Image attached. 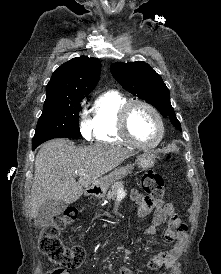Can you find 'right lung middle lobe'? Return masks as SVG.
<instances>
[{
	"label": "right lung middle lobe",
	"mask_w": 221,
	"mask_h": 274,
	"mask_svg": "<svg viewBox=\"0 0 221 274\" xmlns=\"http://www.w3.org/2000/svg\"><path fill=\"white\" fill-rule=\"evenodd\" d=\"M84 97L45 101L33 137V146L59 137H78L80 102Z\"/></svg>",
	"instance_id": "obj_1"
}]
</instances>
